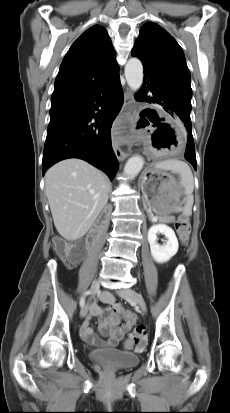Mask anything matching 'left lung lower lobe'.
I'll list each match as a JSON object with an SVG mask.
<instances>
[{
    "label": "left lung lower lobe",
    "mask_w": 230,
    "mask_h": 413,
    "mask_svg": "<svg viewBox=\"0 0 230 413\" xmlns=\"http://www.w3.org/2000/svg\"><path fill=\"white\" fill-rule=\"evenodd\" d=\"M148 91L152 92V95L154 96L152 99L147 96ZM136 100L139 102L158 103L164 107L165 111L183 122L187 132L185 158L196 170V155L190 119L191 109L188 108L182 100L166 92L157 78L145 72L144 86L142 91L138 93Z\"/></svg>",
    "instance_id": "left-lung-lower-lobe-1"
}]
</instances>
